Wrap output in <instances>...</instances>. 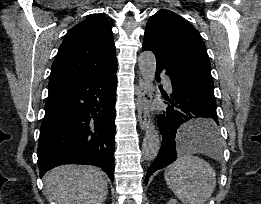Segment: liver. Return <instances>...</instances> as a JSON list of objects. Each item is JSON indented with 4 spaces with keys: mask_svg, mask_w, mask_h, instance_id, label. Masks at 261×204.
<instances>
[{
    "mask_svg": "<svg viewBox=\"0 0 261 204\" xmlns=\"http://www.w3.org/2000/svg\"><path fill=\"white\" fill-rule=\"evenodd\" d=\"M44 185L56 204H103L108 194L105 173L84 165L56 167L45 175Z\"/></svg>",
    "mask_w": 261,
    "mask_h": 204,
    "instance_id": "1",
    "label": "liver"
}]
</instances>
